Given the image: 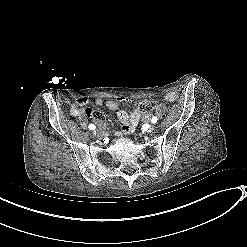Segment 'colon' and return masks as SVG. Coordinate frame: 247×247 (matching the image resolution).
I'll return each mask as SVG.
<instances>
[{
    "label": "colon",
    "mask_w": 247,
    "mask_h": 247,
    "mask_svg": "<svg viewBox=\"0 0 247 247\" xmlns=\"http://www.w3.org/2000/svg\"><path fill=\"white\" fill-rule=\"evenodd\" d=\"M160 108V105L156 101L144 100L141 101L139 104V109L141 112L144 113H151Z\"/></svg>",
    "instance_id": "1"
}]
</instances>
